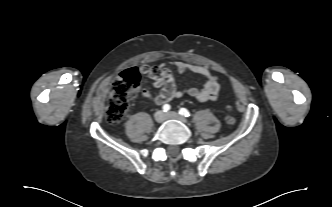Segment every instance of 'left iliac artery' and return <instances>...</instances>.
Segmentation results:
<instances>
[{
    "instance_id": "44dca946",
    "label": "left iliac artery",
    "mask_w": 332,
    "mask_h": 207,
    "mask_svg": "<svg viewBox=\"0 0 332 207\" xmlns=\"http://www.w3.org/2000/svg\"><path fill=\"white\" fill-rule=\"evenodd\" d=\"M179 113L184 117H189L190 116V112L186 108H180Z\"/></svg>"
}]
</instances>
